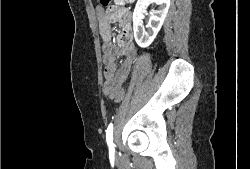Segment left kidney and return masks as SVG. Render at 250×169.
<instances>
[{"mask_svg":"<svg viewBox=\"0 0 250 169\" xmlns=\"http://www.w3.org/2000/svg\"><path fill=\"white\" fill-rule=\"evenodd\" d=\"M149 0H138L134 12H133V30L134 38L139 46H149L153 42L156 34H158L169 10L170 0H155L156 4H159L158 10L152 12L147 28L145 30L143 20L141 18L142 12H146Z\"/></svg>","mask_w":250,"mask_h":169,"instance_id":"1","label":"left kidney"}]
</instances>
